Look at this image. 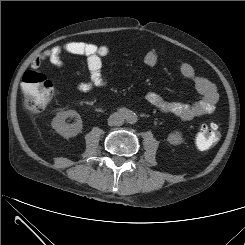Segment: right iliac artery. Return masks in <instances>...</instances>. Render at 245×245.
<instances>
[{
  "mask_svg": "<svg viewBox=\"0 0 245 245\" xmlns=\"http://www.w3.org/2000/svg\"><path fill=\"white\" fill-rule=\"evenodd\" d=\"M118 112L123 115V116H127L129 114L128 110L126 108H120L118 110Z\"/></svg>",
  "mask_w": 245,
  "mask_h": 245,
  "instance_id": "obj_1",
  "label": "right iliac artery"
}]
</instances>
